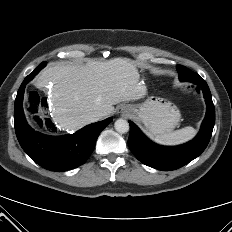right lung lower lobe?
I'll use <instances>...</instances> for the list:
<instances>
[{
    "instance_id": "obj_1",
    "label": "right lung lower lobe",
    "mask_w": 232,
    "mask_h": 232,
    "mask_svg": "<svg viewBox=\"0 0 232 232\" xmlns=\"http://www.w3.org/2000/svg\"><path fill=\"white\" fill-rule=\"evenodd\" d=\"M42 68L40 64L28 75L17 93L14 108L16 135L23 150L43 168L57 172L74 169L89 158L100 132L112 118L90 124L74 134L65 136H47L34 131L24 118L22 99L26 83Z\"/></svg>"
}]
</instances>
